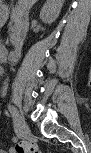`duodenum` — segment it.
<instances>
[{
	"label": "duodenum",
	"instance_id": "410a0bca",
	"mask_svg": "<svg viewBox=\"0 0 91 153\" xmlns=\"http://www.w3.org/2000/svg\"><path fill=\"white\" fill-rule=\"evenodd\" d=\"M25 47L24 42H20L12 51L8 54V61L13 62L20 58Z\"/></svg>",
	"mask_w": 91,
	"mask_h": 153
}]
</instances>
